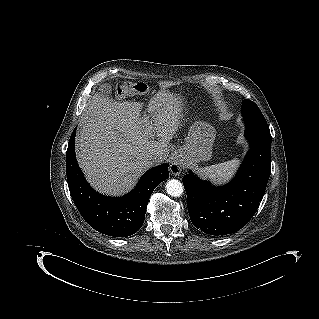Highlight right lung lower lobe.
I'll return each instance as SVG.
<instances>
[{"mask_svg": "<svg viewBox=\"0 0 319 319\" xmlns=\"http://www.w3.org/2000/svg\"><path fill=\"white\" fill-rule=\"evenodd\" d=\"M73 130L66 153L67 181L71 197L85 221L95 230L114 237H127L143 225L148 200L156 186L169 177L168 164L147 171L137 186L122 197H106L86 182L75 157Z\"/></svg>", "mask_w": 319, "mask_h": 319, "instance_id": "98d812e1", "label": "right lung lower lobe"}]
</instances>
